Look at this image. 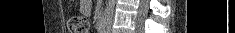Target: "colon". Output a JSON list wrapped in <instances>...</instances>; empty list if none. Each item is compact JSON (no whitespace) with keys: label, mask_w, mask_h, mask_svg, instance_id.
<instances>
[{"label":"colon","mask_w":235,"mask_h":33,"mask_svg":"<svg viewBox=\"0 0 235 33\" xmlns=\"http://www.w3.org/2000/svg\"><path fill=\"white\" fill-rule=\"evenodd\" d=\"M69 30L71 33H88L89 23L83 16H74L69 19Z\"/></svg>","instance_id":"1"}]
</instances>
